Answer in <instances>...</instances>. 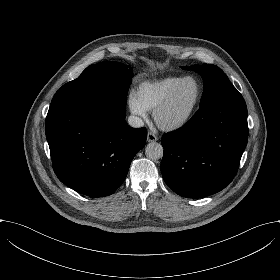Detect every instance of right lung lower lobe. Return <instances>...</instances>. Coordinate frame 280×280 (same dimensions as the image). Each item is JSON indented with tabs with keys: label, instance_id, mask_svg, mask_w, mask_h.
<instances>
[{
	"label": "right lung lower lobe",
	"instance_id": "98d812e1",
	"mask_svg": "<svg viewBox=\"0 0 280 280\" xmlns=\"http://www.w3.org/2000/svg\"><path fill=\"white\" fill-rule=\"evenodd\" d=\"M125 116L126 108L97 97L56 92L45 131L59 180L90 197L114 193L147 136L145 128H131Z\"/></svg>",
	"mask_w": 280,
	"mask_h": 280
}]
</instances>
